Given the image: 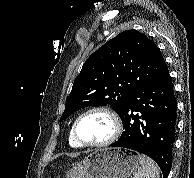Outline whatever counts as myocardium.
Here are the masks:
<instances>
[{
    "mask_svg": "<svg viewBox=\"0 0 194 178\" xmlns=\"http://www.w3.org/2000/svg\"><path fill=\"white\" fill-rule=\"evenodd\" d=\"M90 113H102L106 115L111 123H112V132L110 136L105 139L104 141L97 142V143H88L83 141L79 136H78V124L80 120L90 114ZM122 131V124L120 121L119 116L115 111L112 109L105 107V106H94L90 107L86 110H84L81 114L78 115V117L75 119L73 125H72V137L73 139L81 146V147H90V148H102V147H107L111 144H113L117 139L119 138L120 134Z\"/></svg>",
    "mask_w": 194,
    "mask_h": 178,
    "instance_id": "1",
    "label": "myocardium"
}]
</instances>
